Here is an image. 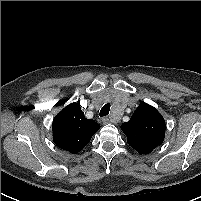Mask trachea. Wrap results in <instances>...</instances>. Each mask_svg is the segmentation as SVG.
Listing matches in <instances>:
<instances>
[{
	"instance_id": "1",
	"label": "trachea",
	"mask_w": 201,
	"mask_h": 201,
	"mask_svg": "<svg viewBox=\"0 0 201 201\" xmlns=\"http://www.w3.org/2000/svg\"><path fill=\"white\" fill-rule=\"evenodd\" d=\"M110 107H111L110 103L105 104L100 110V113H99L100 117L108 115L110 111Z\"/></svg>"
}]
</instances>
